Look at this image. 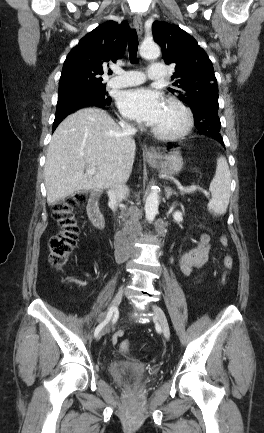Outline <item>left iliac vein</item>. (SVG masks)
Returning a JSON list of instances; mask_svg holds the SVG:
<instances>
[{
	"mask_svg": "<svg viewBox=\"0 0 264 433\" xmlns=\"http://www.w3.org/2000/svg\"><path fill=\"white\" fill-rule=\"evenodd\" d=\"M152 310L154 312V316H155L156 320L158 321V323L161 326L164 337L167 340H169L170 329H169V324H168L167 318H166L163 310L157 305H153Z\"/></svg>",
	"mask_w": 264,
	"mask_h": 433,
	"instance_id": "left-iliac-vein-1",
	"label": "left iliac vein"
}]
</instances>
